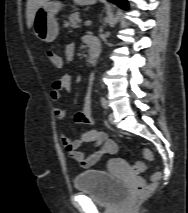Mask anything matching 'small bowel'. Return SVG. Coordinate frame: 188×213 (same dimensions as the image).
I'll return each instance as SVG.
<instances>
[{"label":"small bowel","mask_w":188,"mask_h":213,"mask_svg":"<svg viewBox=\"0 0 188 213\" xmlns=\"http://www.w3.org/2000/svg\"><path fill=\"white\" fill-rule=\"evenodd\" d=\"M88 43V38L85 39ZM64 55L67 60H71L75 55V45L69 43L65 46ZM53 66L62 67L63 59L58 55V63L50 60ZM72 89V79L65 75L53 82L50 91L52 101H58L61 98L63 91L69 92ZM66 109L64 107H55L53 110L54 117L62 121L65 117ZM75 124H87L95 126L97 121L91 112V99L88 94L84 99L83 110L73 116ZM61 142L69 157L78 162L81 166L88 168L95 165L103 155H111L116 153L117 144L110 139L108 135L100 130L92 129L81 134L77 139H70L66 135L61 137ZM84 143H92L97 149L89 154L82 151L80 148Z\"/></svg>","instance_id":"obj_1"}]
</instances>
